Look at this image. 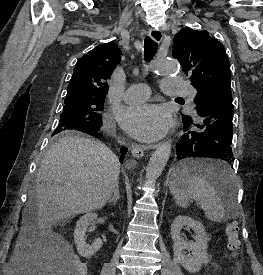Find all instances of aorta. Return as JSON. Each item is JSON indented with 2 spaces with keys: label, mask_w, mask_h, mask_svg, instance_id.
Masks as SVG:
<instances>
[{
  "label": "aorta",
  "mask_w": 263,
  "mask_h": 275,
  "mask_svg": "<svg viewBox=\"0 0 263 275\" xmlns=\"http://www.w3.org/2000/svg\"><path fill=\"white\" fill-rule=\"evenodd\" d=\"M151 70L160 74H176L180 71L179 63L174 60L158 59L152 66ZM171 154V142H163L152 154L146 168V180L149 184L156 181L165 168Z\"/></svg>",
  "instance_id": "obj_1"
}]
</instances>
